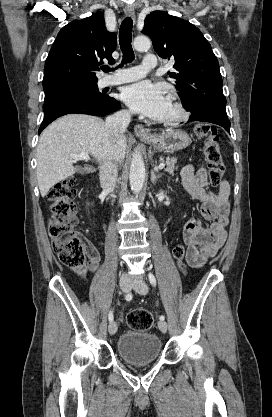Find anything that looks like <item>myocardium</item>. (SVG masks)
I'll use <instances>...</instances> for the list:
<instances>
[{
  "label": "myocardium",
  "instance_id": "myocardium-1",
  "mask_svg": "<svg viewBox=\"0 0 272 417\" xmlns=\"http://www.w3.org/2000/svg\"><path fill=\"white\" fill-rule=\"evenodd\" d=\"M168 100L173 105L175 114L168 118L159 119L158 123L164 126L172 127L186 121L189 117V112L180 97L176 94H170Z\"/></svg>",
  "mask_w": 272,
  "mask_h": 417
}]
</instances>
